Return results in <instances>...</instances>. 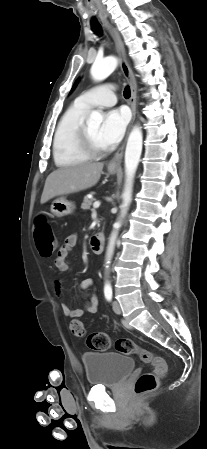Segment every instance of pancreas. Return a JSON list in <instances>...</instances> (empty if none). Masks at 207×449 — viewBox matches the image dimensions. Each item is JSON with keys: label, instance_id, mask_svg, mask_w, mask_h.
<instances>
[{"label": "pancreas", "instance_id": "1", "mask_svg": "<svg viewBox=\"0 0 207 449\" xmlns=\"http://www.w3.org/2000/svg\"><path fill=\"white\" fill-rule=\"evenodd\" d=\"M93 201H94V199H90L88 197H85L84 200H83V203L81 205V208L84 209V210H89L91 205H92V203H93Z\"/></svg>", "mask_w": 207, "mask_h": 449}]
</instances>
